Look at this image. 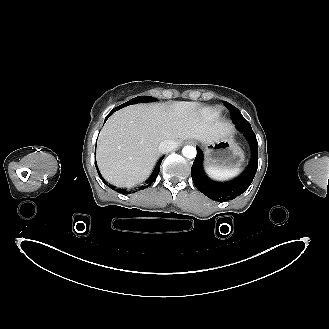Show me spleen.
<instances>
[{
	"label": "spleen",
	"mask_w": 329,
	"mask_h": 329,
	"mask_svg": "<svg viewBox=\"0 0 329 329\" xmlns=\"http://www.w3.org/2000/svg\"><path fill=\"white\" fill-rule=\"evenodd\" d=\"M207 174L209 177L215 180H229L236 176H238L241 173V169H231V170H220V169H214V168H207L206 169Z\"/></svg>",
	"instance_id": "obj_1"
}]
</instances>
